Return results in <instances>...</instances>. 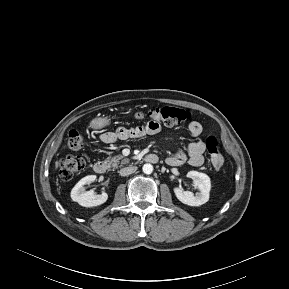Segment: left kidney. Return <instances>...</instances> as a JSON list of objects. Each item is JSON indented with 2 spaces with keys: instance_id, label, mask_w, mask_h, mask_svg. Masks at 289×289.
<instances>
[{
  "instance_id": "5707ae66",
  "label": "left kidney",
  "mask_w": 289,
  "mask_h": 289,
  "mask_svg": "<svg viewBox=\"0 0 289 289\" xmlns=\"http://www.w3.org/2000/svg\"><path fill=\"white\" fill-rule=\"evenodd\" d=\"M187 177L192 178L199 192L193 193L184 191L182 188L175 187L174 193L179 201L189 206H200L209 200L211 189L210 178L201 172L189 171Z\"/></svg>"
}]
</instances>
